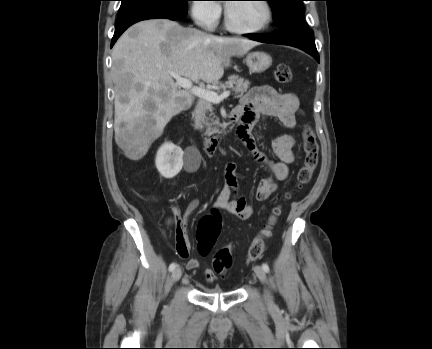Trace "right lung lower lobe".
<instances>
[{"label": "right lung lower lobe", "mask_w": 432, "mask_h": 349, "mask_svg": "<svg viewBox=\"0 0 432 349\" xmlns=\"http://www.w3.org/2000/svg\"><path fill=\"white\" fill-rule=\"evenodd\" d=\"M157 18H164L170 20L178 19V17L175 15L157 9H143L119 16L115 23V32L112 38L111 47L120 37V35L132 24L142 20Z\"/></svg>", "instance_id": "obj_1"}]
</instances>
